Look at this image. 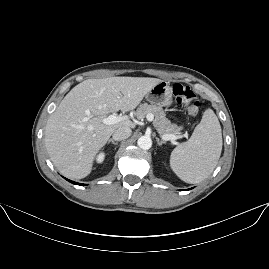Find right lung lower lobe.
<instances>
[{"label":"right lung lower lobe","instance_id":"right-lung-lower-lobe-1","mask_svg":"<svg viewBox=\"0 0 269 269\" xmlns=\"http://www.w3.org/2000/svg\"><path fill=\"white\" fill-rule=\"evenodd\" d=\"M66 180H68V179H66ZM68 181L71 182V183H73V184L84 185V184H81V183H76V182L71 181V180H68Z\"/></svg>","mask_w":269,"mask_h":269}]
</instances>
